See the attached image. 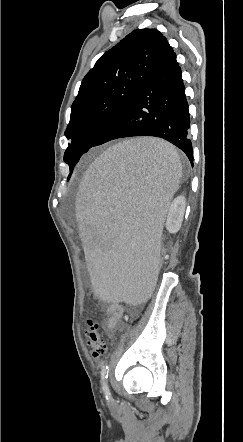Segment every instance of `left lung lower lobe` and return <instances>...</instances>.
Instances as JSON below:
<instances>
[{
    "instance_id": "obj_1",
    "label": "left lung lower lobe",
    "mask_w": 243,
    "mask_h": 442,
    "mask_svg": "<svg viewBox=\"0 0 243 442\" xmlns=\"http://www.w3.org/2000/svg\"><path fill=\"white\" fill-rule=\"evenodd\" d=\"M189 128L190 115L181 69L168 44L96 146L123 137L154 136L180 148L193 165Z\"/></svg>"
}]
</instances>
